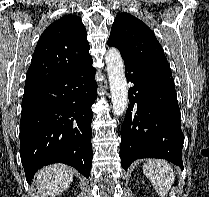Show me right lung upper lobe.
<instances>
[{"label": "right lung upper lobe", "mask_w": 209, "mask_h": 197, "mask_svg": "<svg viewBox=\"0 0 209 197\" xmlns=\"http://www.w3.org/2000/svg\"><path fill=\"white\" fill-rule=\"evenodd\" d=\"M86 35L75 15H65L49 25L36 45L24 90L56 80L91 58Z\"/></svg>", "instance_id": "obj_1"}]
</instances>
